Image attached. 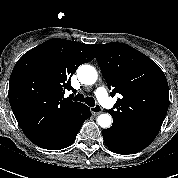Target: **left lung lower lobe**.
<instances>
[{"mask_svg":"<svg viewBox=\"0 0 178 178\" xmlns=\"http://www.w3.org/2000/svg\"><path fill=\"white\" fill-rule=\"evenodd\" d=\"M102 135L105 144L112 152L123 155L140 152L151 143V141L115 125H112L109 129H104Z\"/></svg>","mask_w":178,"mask_h":178,"instance_id":"left-lung-lower-lobe-1","label":"left lung lower lobe"}]
</instances>
